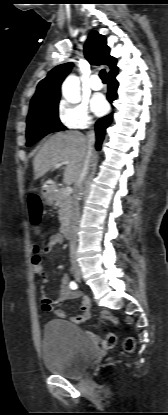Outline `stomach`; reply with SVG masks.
Returning a JSON list of instances; mask_svg holds the SVG:
<instances>
[{"label":"stomach","mask_w":168,"mask_h":415,"mask_svg":"<svg viewBox=\"0 0 168 415\" xmlns=\"http://www.w3.org/2000/svg\"><path fill=\"white\" fill-rule=\"evenodd\" d=\"M43 197L47 204H52L53 199H54V193L51 190L46 189L43 192Z\"/></svg>","instance_id":"1"}]
</instances>
